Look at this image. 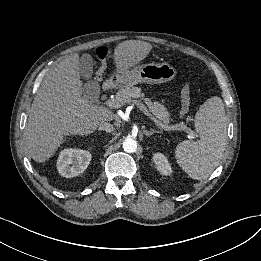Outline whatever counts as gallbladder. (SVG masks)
Returning <instances> with one entry per match:
<instances>
[{"label":"gallbladder","instance_id":"obj_1","mask_svg":"<svg viewBox=\"0 0 261 261\" xmlns=\"http://www.w3.org/2000/svg\"><path fill=\"white\" fill-rule=\"evenodd\" d=\"M80 76L87 80L82 90L85 97L91 101L95 100L99 94V84L92 79L93 62L89 55H83L78 63Z\"/></svg>","mask_w":261,"mask_h":261}]
</instances>
